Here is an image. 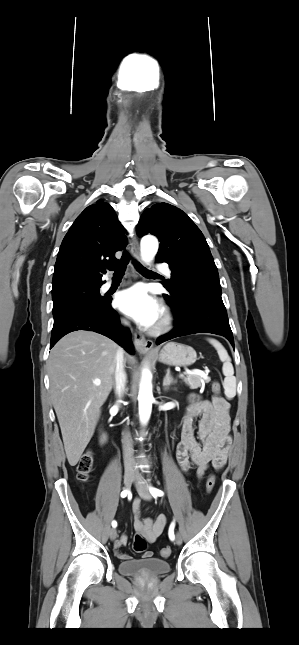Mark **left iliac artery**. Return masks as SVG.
Masks as SVG:
<instances>
[{
  "instance_id": "44dca946",
  "label": "left iliac artery",
  "mask_w": 299,
  "mask_h": 645,
  "mask_svg": "<svg viewBox=\"0 0 299 645\" xmlns=\"http://www.w3.org/2000/svg\"><path fill=\"white\" fill-rule=\"evenodd\" d=\"M149 490H150V493L153 495V497L163 496V491H161V490H159V489H157L155 487H150ZM174 527H175V522L173 521L171 523L170 527H169V532H168L169 538L172 541L175 539Z\"/></svg>"
}]
</instances>
